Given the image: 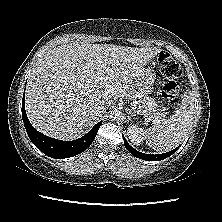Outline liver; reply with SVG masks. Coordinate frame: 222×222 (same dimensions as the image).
Wrapping results in <instances>:
<instances>
[{"label":"liver","mask_w":222,"mask_h":222,"mask_svg":"<svg viewBox=\"0 0 222 222\" xmlns=\"http://www.w3.org/2000/svg\"><path fill=\"white\" fill-rule=\"evenodd\" d=\"M157 48L70 43L48 51L33 69L25 94L29 121L36 130L74 140L89 126L95 105L106 107L129 90ZM99 77L102 81L96 82Z\"/></svg>","instance_id":"obj_1"}]
</instances>
